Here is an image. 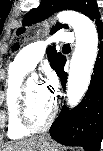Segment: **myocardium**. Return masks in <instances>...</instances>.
Listing matches in <instances>:
<instances>
[{"label": "myocardium", "mask_w": 103, "mask_h": 151, "mask_svg": "<svg viewBox=\"0 0 103 151\" xmlns=\"http://www.w3.org/2000/svg\"><path fill=\"white\" fill-rule=\"evenodd\" d=\"M28 83L29 82L22 84L20 89L18 106H17V117L19 123L23 128L31 132H40V131L47 130L51 126V124L53 123L56 117L58 105L56 101H53L50 115L45 123L41 125H37L34 122H32L29 116V107H28Z\"/></svg>", "instance_id": "1"}]
</instances>
